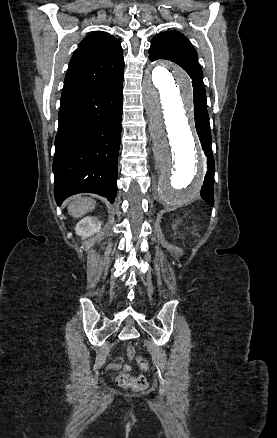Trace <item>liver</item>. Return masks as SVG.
<instances>
[{
  "instance_id": "6515ba94",
  "label": "liver",
  "mask_w": 277,
  "mask_h": 438,
  "mask_svg": "<svg viewBox=\"0 0 277 438\" xmlns=\"http://www.w3.org/2000/svg\"><path fill=\"white\" fill-rule=\"evenodd\" d=\"M96 202L92 198H82V196H74L70 206H68V214L73 218H82L87 212L95 210Z\"/></svg>"
}]
</instances>
